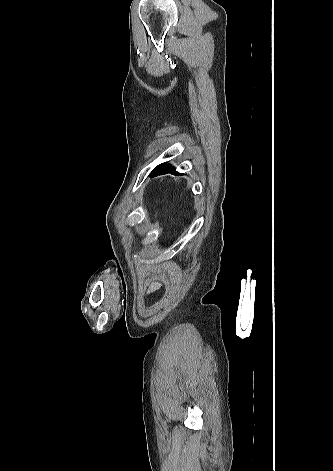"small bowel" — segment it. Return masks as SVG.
Here are the masks:
<instances>
[{"instance_id": "c3829d8e", "label": "small bowel", "mask_w": 333, "mask_h": 471, "mask_svg": "<svg viewBox=\"0 0 333 471\" xmlns=\"http://www.w3.org/2000/svg\"><path fill=\"white\" fill-rule=\"evenodd\" d=\"M159 287H160L159 281H152L147 288V293L153 292L157 290Z\"/></svg>"}]
</instances>
